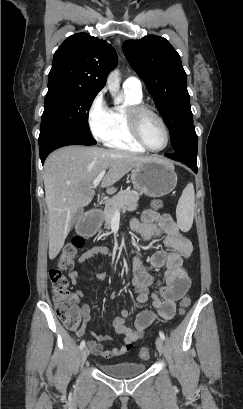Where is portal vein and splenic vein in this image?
Segmentation results:
<instances>
[{"label":"portal vein and splenic vein","mask_w":243,"mask_h":409,"mask_svg":"<svg viewBox=\"0 0 243 409\" xmlns=\"http://www.w3.org/2000/svg\"><path fill=\"white\" fill-rule=\"evenodd\" d=\"M106 170H102L99 175L93 180V187H97L101 182L102 178L104 177Z\"/></svg>","instance_id":"portal-vein-and-splenic-vein-1"}]
</instances>
